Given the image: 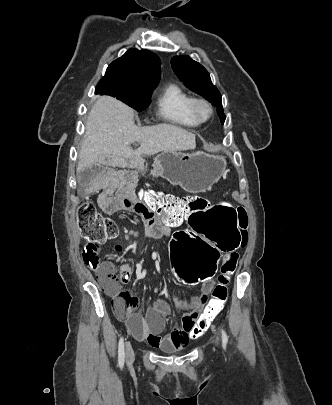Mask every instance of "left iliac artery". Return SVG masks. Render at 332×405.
<instances>
[{"label":"left iliac artery","mask_w":332,"mask_h":405,"mask_svg":"<svg viewBox=\"0 0 332 405\" xmlns=\"http://www.w3.org/2000/svg\"><path fill=\"white\" fill-rule=\"evenodd\" d=\"M221 335H222L223 345L226 346V344L228 342V336H227L226 332L223 329H221Z\"/></svg>","instance_id":"1"}]
</instances>
